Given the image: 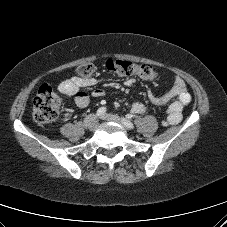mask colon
Returning <instances> with one entry per match:
<instances>
[{
	"instance_id": "colon-1",
	"label": "colon",
	"mask_w": 227,
	"mask_h": 227,
	"mask_svg": "<svg viewBox=\"0 0 227 227\" xmlns=\"http://www.w3.org/2000/svg\"><path fill=\"white\" fill-rule=\"evenodd\" d=\"M106 70L114 75L137 76L145 80L157 79V72L148 64H137L131 61L110 58L105 62ZM94 65L91 63L80 65L77 73L82 78H88L94 73ZM60 110V99L54 90L47 84L38 90L34 102L32 116L40 124L54 121Z\"/></svg>"
}]
</instances>
